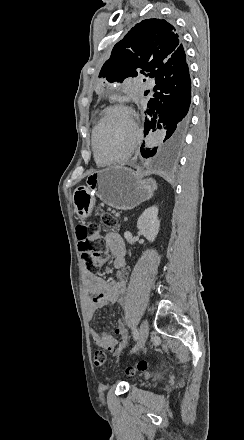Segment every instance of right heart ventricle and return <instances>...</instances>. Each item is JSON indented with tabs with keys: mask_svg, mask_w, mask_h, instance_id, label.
<instances>
[{
	"mask_svg": "<svg viewBox=\"0 0 244 440\" xmlns=\"http://www.w3.org/2000/svg\"><path fill=\"white\" fill-rule=\"evenodd\" d=\"M98 126L97 125H95L94 126V128H93V130H92V136H91V143H92V145L94 146V143H93V138H95V133L97 132V128ZM102 133V132H101ZM100 134V133H99ZM97 162V164L99 165V166H104V163H102V162H100V161H96Z\"/></svg>",
	"mask_w": 244,
	"mask_h": 440,
	"instance_id": "obj_1",
	"label": "right heart ventricle"
}]
</instances>
